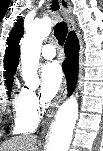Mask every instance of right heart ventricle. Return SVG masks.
Returning a JSON list of instances; mask_svg holds the SVG:
<instances>
[{"label": "right heart ventricle", "instance_id": "e07e8e85", "mask_svg": "<svg viewBox=\"0 0 103 151\" xmlns=\"http://www.w3.org/2000/svg\"><path fill=\"white\" fill-rule=\"evenodd\" d=\"M14 111V133L27 134L37 127L38 119L28 110L23 90L17 92L13 97Z\"/></svg>", "mask_w": 103, "mask_h": 151}]
</instances>
